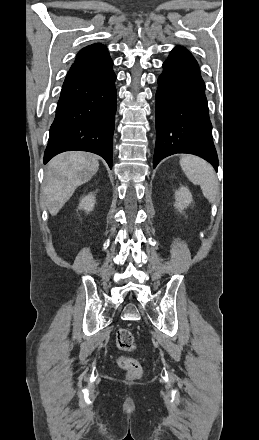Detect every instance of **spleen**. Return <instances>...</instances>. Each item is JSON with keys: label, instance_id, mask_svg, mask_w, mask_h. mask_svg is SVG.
Here are the masks:
<instances>
[{"label": "spleen", "instance_id": "1", "mask_svg": "<svg viewBox=\"0 0 259 440\" xmlns=\"http://www.w3.org/2000/svg\"><path fill=\"white\" fill-rule=\"evenodd\" d=\"M180 165L187 178L195 185H200L204 197L214 202L218 192V183L212 166L193 155L183 156L180 159Z\"/></svg>", "mask_w": 259, "mask_h": 440}]
</instances>
